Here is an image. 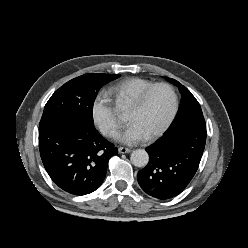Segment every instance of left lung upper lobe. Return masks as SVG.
Listing matches in <instances>:
<instances>
[{"label": "left lung upper lobe", "instance_id": "1", "mask_svg": "<svg viewBox=\"0 0 248 248\" xmlns=\"http://www.w3.org/2000/svg\"><path fill=\"white\" fill-rule=\"evenodd\" d=\"M164 78L168 82L176 85L182 95L181 107L178 116L168 132H172L176 129L186 126H194L206 129V123L201 107L192 93L175 79L168 77Z\"/></svg>", "mask_w": 248, "mask_h": 248}]
</instances>
